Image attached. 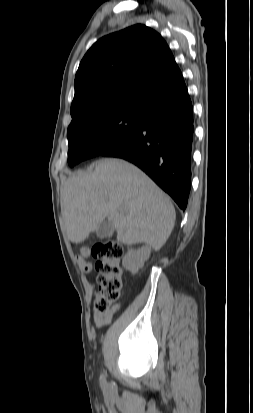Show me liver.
Listing matches in <instances>:
<instances>
[{
    "instance_id": "obj_1",
    "label": "liver",
    "mask_w": 253,
    "mask_h": 413,
    "mask_svg": "<svg viewBox=\"0 0 253 413\" xmlns=\"http://www.w3.org/2000/svg\"><path fill=\"white\" fill-rule=\"evenodd\" d=\"M62 216L68 238L84 242L105 218L120 243H146L161 249L175 224L169 197L139 168L115 158L102 159L67 179Z\"/></svg>"
}]
</instances>
